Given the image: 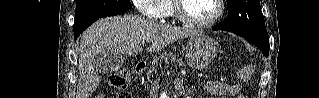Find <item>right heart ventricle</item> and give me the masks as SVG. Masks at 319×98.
I'll return each instance as SVG.
<instances>
[{
  "instance_id": "obj_1",
  "label": "right heart ventricle",
  "mask_w": 319,
  "mask_h": 98,
  "mask_svg": "<svg viewBox=\"0 0 319 98\" xmlns=\"http://www.w3.org/2000/svg\"><path fill=\"white\" fill-rule=\"evenodd\" d=\"M155 9L160 11L162 17H172L173 16V7L171 3L166 1H156L152 5Z\"/></svg>"
}]
</instances>
